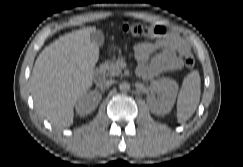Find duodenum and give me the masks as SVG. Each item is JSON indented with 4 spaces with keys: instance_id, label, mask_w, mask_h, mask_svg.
<instances>
[{
    "instance_id": "duodenum-1",
    "label": "duodenum",
    "mask_w": 243,
    "mask_h": 167,
    "mask_svg": "<svg viewBox=\"0 0 243 167\" xmlns=\"http://www.w3.org/2000/svg\"><path fill=\"white\" fill-rule=\"evenodd\" d=\"M93 79L98 83H101L104 80V70L102 67L95 68L93 71Z\"/></svg>"
}]
</instances>
